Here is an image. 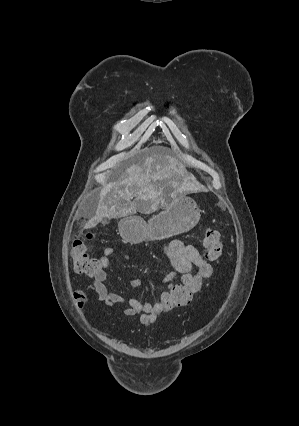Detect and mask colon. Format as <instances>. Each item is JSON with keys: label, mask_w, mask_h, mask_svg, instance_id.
Instances as JSON below:
<instances>
[{"label": "colon", "mask_w": 299, "mask_h": 426, "mask_svg": "<svg viewBox=\"0 0 299 426\" xmlns=\"http://www.w3.org/2000/svg\"><path fill=\"white\" fill-rule=\"evenodd\" d=\"M90 238L91 235H87L74 240L70 248V257L77 273L95 277L101 270V264L98 258L91 257L87 252L86 243ZM203 246L208 259H219L223 252L219 231L214 228L206 229L203 237ZM194 288L193 277L189 274L184 275L180 282H177L170 289L160 292L158 300L170 312L190 303L194 296ZM74 298L79 306H82L86 301V295L81 291L75 292Z\"/></svg>", "instance_id": "obj_1"}]
</instances>
